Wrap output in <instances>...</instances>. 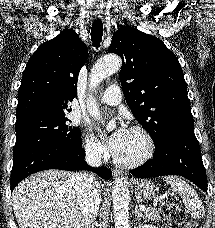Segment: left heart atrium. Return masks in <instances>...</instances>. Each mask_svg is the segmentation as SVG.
Instances as JSON below:
<instances>
[{
	"label": "left heart atrium",
	"instance_id": "obj_1",
	"mask_svg": "<svg viewBox=\"0 0 215 228\" xmlns=\"http://www.w3.org/2000/svg\"><path fill=\"white\" fill-rule=\"evenodd\" d=\"M130 135V130L124 126H119L109 137L108 145L110 152L116 157L126 147Z\"/></svg>",
	"mask_w": 215,
	"mask_h": 228
}]
</instances>
